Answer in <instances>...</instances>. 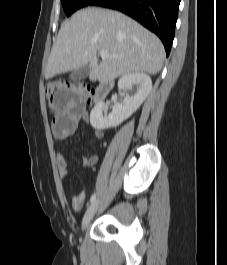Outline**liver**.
<instances>
[{
  "instance_id": "6515ba94",
  "label": "liver",
  "mask_w": 227,
  "mask_h": 265,
  "mask_svg": "<svg viewBox=\"0 0 227 265\" xmlns=\"http://www.w3.org/2000/svg\"><path fill=\"white\" fill-rule=\"evenodd\" d=\"M101 50L110 56L98 64ZM164 57L160 39L137 21L117 11L86 8L61 25L45 78L86 65L90 80L101 83L132 72L154 75L162 69Z\"/></svg>"
}]
</instances>
